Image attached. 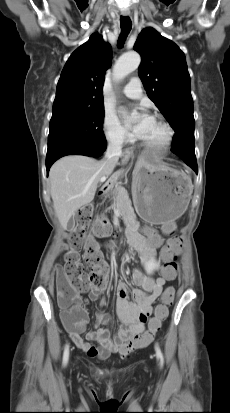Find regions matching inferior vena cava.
<instances>
[{
	"instance_id": "1",
	"label": "inferior vena cava",
	"mask_w": 230,
	"mask_h": 413,
	"mask_svg": "<svg viewBox=\"0 0 230 413\" xmlns=\"http://www.w3.org/2000/svg\"><path fill=\"white\" fill-rule=\"evenodd\" d=\"M123 143V136L121 134L116 135L109 143L105 159L110 163L116 165L118 162L119 156L121 154V148Z\"/></svg>"
}]
</instances>
